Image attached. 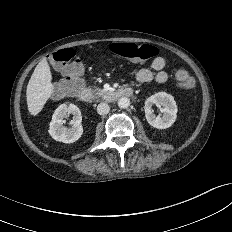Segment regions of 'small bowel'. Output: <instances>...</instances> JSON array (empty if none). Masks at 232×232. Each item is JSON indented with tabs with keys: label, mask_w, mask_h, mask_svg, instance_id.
<instances>
[{
	"label": "small bowel",
	"mask_w": 232,
	"mask_h": 232,
	"mask_svg": "<svg viewBox=\"0 0 232 232\" xmlns=\"http://www.w3.org/2000/svg\"><path fill=\"white\" fill-rule=\"evenodd\" d=\"M166 66V61L163 57L158 56L154 58L151 63V68H141L135 73V80L139 83H149L151 81H156L157 83H164L168 79V74L164 70Z\"/></svg>",
	"instance_id": "small-bowel-1"
}]
</instances>
